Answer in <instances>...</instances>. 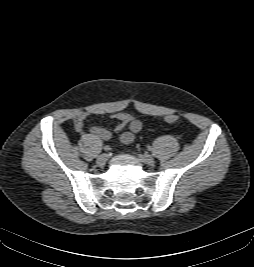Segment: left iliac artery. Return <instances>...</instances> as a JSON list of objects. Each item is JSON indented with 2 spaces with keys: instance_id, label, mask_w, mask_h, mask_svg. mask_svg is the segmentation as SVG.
<instances>
[{
  "instance_id": "1",
  "label": "left iliac artery",
  "mask_w": 254,
  "mask_h": 267,
  "mask_svg": "<svg viewBox=\"0 0 254 267\" xmlns=\"http://www.w3.org/2000/svg\"><path fill=\"white\" fill-rule=\"evenodd\" d=\"M147 148H148V150H149V151H151V150H152V147H151V146H148Z\"/></svg>"
}]
</instances>
